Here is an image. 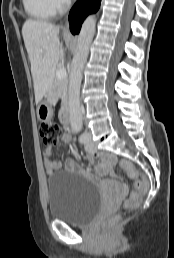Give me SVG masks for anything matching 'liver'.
Masks as SVG:
<instances>
[{
    "instance_id": "1",
    "label": "liver",
    "mask_w": 174,
    "mask_h": 258,
    "mask_svg": "<svg viewBox=\"0 0 174 258\" xmlns=\"http://www.w3.org/2000/svg\"><path fill=\"white\" fill-rule=\"evenodd\" d=\"M59 31L58 26L32 19L27 20L22 27L31 63L36 104L51 90L57 64L64 58Z\"/></svg>"
}]
</instances>
